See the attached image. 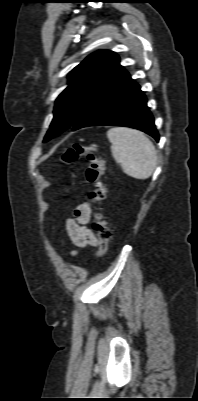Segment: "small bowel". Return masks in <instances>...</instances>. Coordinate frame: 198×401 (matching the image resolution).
Masks as SVG:
<instances>
[{
	"mask_svg": "<svg viewBox=\"0 0 198 401\" xmlns=\"http://www.w3.org/2000/svg\"><path fill=\"white\" fill-rule=\"evenodd\" d=\"M91 217V208L87 202L81 203L73 211L71 218L66 221V233L69 242L75 247L96 246L97 236L88 227ZM72 256L77 255V251L71 252Z\"/></svg>",
	"mask_w": 198,
	"mask_h": 401,
	"instance_id": "c3829d8e",
	"label": "small bowel"
}]
</instances>
